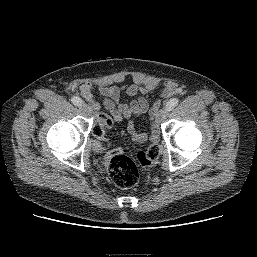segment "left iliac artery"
Here are the masks:
<instances>
[{
	"label": "left iliac artery",
	"instance_id": "44dca946",
	"mask_svg": "<svg viewBox=\"0 0 257 257\" xmlns=\"http://www.w3.org/2000/svg\"><path fill=\"white\" fill-rule=\"evenodd\" d=\"M178 102H179V100L177 98L170 99L169 102L166 104V108L168 109V111L175 108L177 106Z\"/></svg>",
	"mask_w": 257,
	"mask_h": 257
}]
</instances>
